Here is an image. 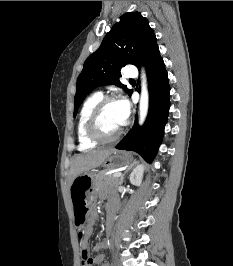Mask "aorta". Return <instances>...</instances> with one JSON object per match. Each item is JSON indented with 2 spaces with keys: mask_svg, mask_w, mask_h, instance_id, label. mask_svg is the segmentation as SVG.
<instances>
[{
  "mask_svg": "<svg viewBox=\"0 0 233 266\" xmlns=\"http://www.w3.org/2000/svg\"><path fill=\"white\" fill-rule=\"evenodd\" d=\"M149 107V93L147 89V78L144 71L141 74V97L139 103V122L142 124L147 116Z\"/></svg>",
  "mask_w": 233,
  "mask_h": 266,
  "instance_id": "762f6f07",
  "label": "aorta"
}]
</instances>
